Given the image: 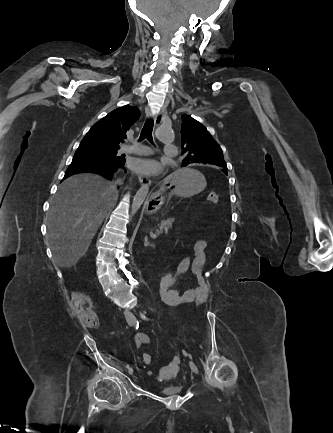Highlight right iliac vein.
<instances>
[{
	"label": "right iliac vein",
	"instance_id": "right-iliac-vein-1",
	"mask_svg": "<svg viewBox=\"0 0 333 433\" xmlns=\"http://www.w3.org/2000/svg\"><path fill=\"white\" fill-rule=\"evenodd\" d=\"M128 372H129L130 375H132L133 374V369L132 368L128 369Z\"/></svg>",
	"mask_w": 333,
	"mask_h": 433
}]
</instances>
